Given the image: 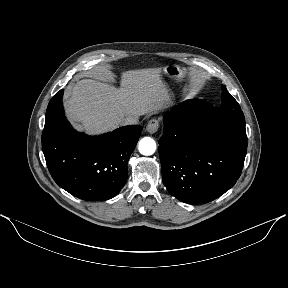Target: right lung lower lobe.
<instances>
[{"label": "right lung lower lobe", "mask_w": 288, "mask_h": 288, "mask_svg": "<svg viewBox=\"0 0 288 288\" xmlns=\"http://www.w3.org/2000/svg\"><path fill=\"white\" fill-rule=\"evenodd\" d=\"M63 90L49 102L42 148L49 172L64 190L83 200L116 196L126 183L127 163L142 130L121 127L100 136L76 132L64 116Z\"/></svg>", "instance_id": "obj_1"}]
</instances>
